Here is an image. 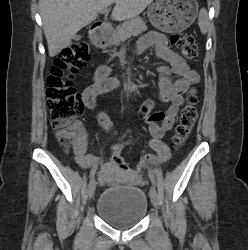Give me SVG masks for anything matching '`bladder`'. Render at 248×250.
Here are the masks:
<instances>
[{
  "label": "bladder",
  "mask_w": 248,
  "mask_h": 250,
  "mask_svg": "<svg viewBox=\"0 0 248 250\" xmlns=\"http://www.w3.org/2000/svg\"><path fill=\"white\" fill-rule=\"evenodd\" d=\"M96 212L118 229L136 226L148 212V201L141 188L128 185L105 189L96 202Z\"/></svg>",
  "instance_id": "bladder-1"
}]
</instances>
